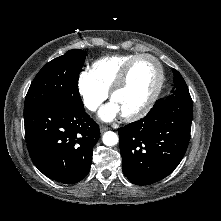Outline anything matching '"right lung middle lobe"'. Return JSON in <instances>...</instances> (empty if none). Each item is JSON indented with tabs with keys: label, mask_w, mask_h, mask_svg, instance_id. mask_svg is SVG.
Returning a JSON list of instances; mask_svg holds the SVG:
<instances>
[{
	"label": "right lung middle lobe",
	"mask_w": 221,
	"mask_h": 221,
	"mask_svg": "<svg viewBox=\"0 0 221 221\" xmlns=\"http://www.w3.org/2000/svg\"><path fill=\"white\" fill-rule=\"evenodd\" d=\"M86 56V52L80 49L69 50L47 63L31 83L24 111L48 102L83 107L78 78Z\"/></svg>",
	"instance_id": "obj_1"
}]
</instances>
